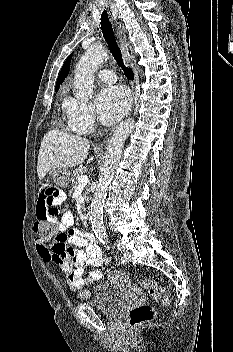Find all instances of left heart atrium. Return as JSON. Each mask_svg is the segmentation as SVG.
I'll list each match as a JSON object with an SVG mask.
<instances>
[{
	"mask_svg": "<svg viewBox=\"0 0 233 352\" xmlns=\"http://www.w3.org/2000/svg\"><path fill=\"white\" fill-rule=\"evenodd\" d=\"M129 102V94L123 87L102 89L96 99V109L101 121L108 125L118 121L128 109Z\"/></svg>",
	"mask_w": 233,
	"mask_h": 352,
	"instance_id": "1",
	"label": "left heart atrium"
}]
</instances>
